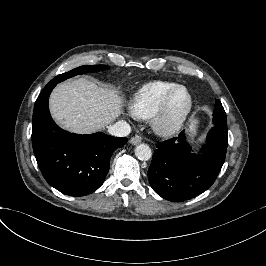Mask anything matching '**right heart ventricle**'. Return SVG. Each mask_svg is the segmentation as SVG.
<instances>
[{
    "mask_svg": "<svg viewBox=\"0 0 266 266\" xmlns=\"http://www.w3.org/2000/svg\"><path fill=\"white\" fill-rule=\"evenodd\" d=\"M180 83L171 80H154L140 86L134 93L130 109L134 117L148 120L163 98Z\"/></svg>",
    "mask_w": 266,
    "mask_h": 266,
    "instance_id": "e07e8e85",
    "label": "right heart ventricle"
}]
</instances>
